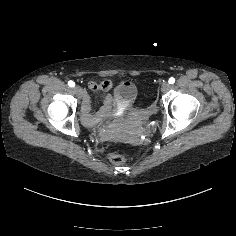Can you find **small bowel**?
Returning a JSON list of instances; mask_svg holds the SVG:
<instances>
[{"mask_svg":"<svg viewBox=\"0 0 236 236\" xmlns=\"http://www.w3.org/2000/svg\"><path fill=\"white\" fill-rule=\"evenodd\" d=\"M90 89H101L104 91H108L112 87V83L109 80H104L101 82H90Z\"/></svg>","mask_w":236,"mask_h":236,"instance_id":"1","label":"small bowel"}]
</instances>
